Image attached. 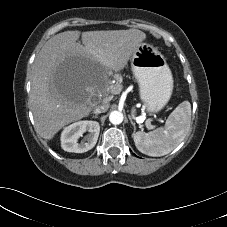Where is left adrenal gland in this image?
<instances>
[{
  "label": "left adrenal gland",
  "instance_id": "left-adrenal-gland-1",
  "mask_svg": "<svg viewBox=\"0 0 227 227\" xmlns=\"http://www.w3.org/2000/svg\"><path fill=\"white\" fill-rule=\"evenodd\" d=\"M129 120H130L131 124L133 125L134 130H136V125H135V123L133 122V120H132V118L130 116H129Z\"/></svg>",
  "mask_w": 227,
  "mask_h": 227
}]
</instances>
